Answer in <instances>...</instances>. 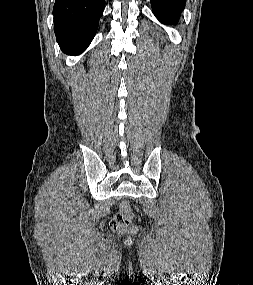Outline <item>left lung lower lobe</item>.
Returning <instances> with one entry per match:
<instances>
[{
	"label": "left lung lower lobe",
	"instance_id": "1",
	"mask_svg": "<svg viewBox=\"0 0 253 285\" xmlns=\"http://www.w3.org/2000/svg\"><path fill=\"white\" fill-rule=\"evenodd\" d=\"M153 13L164 24H176L185 7V0H150Z\"/></svg>",
	"mask_w": 253,
	"mask_h": 285
}]
</instances>
